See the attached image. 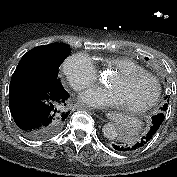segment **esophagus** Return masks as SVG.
Returning a JSON list of instances; mask_svg holds the SVG:
<instances>
[{
    "label": "esophagus",
    "mask_w": 177,
    "mask_h": 177,
    "mask_svg": "<svg viewBox=\"0 0 177 177\" xmlns=\"http://www.w3.org/2000/svg\"><path fill=\"white\" fill-rule=\"evenodd\" d=\"M102 116H103L104 118H107V117L109 116V113H108L107 111H104V112L102 113Z\"/></svg>",
    "instance_id": "esophagus-1"
}]
</instances>
